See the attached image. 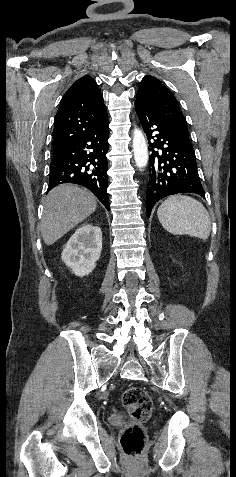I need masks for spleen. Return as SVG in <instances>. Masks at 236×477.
I'll return each instance as SVG.
<instances>
[{
    "label": "spleen",
    "instance_id": "3e777b00",
    "mask_svg": "<svg viewBox=\"0 0 236 477\" xmlns=\"http://www.w3.org/2000/svg\"><path fill=\"white\" fill-rule=\"evenodd\" d=\"M157 216L165 230L172 234H188L206 240L211 231L209 213L192 197L175 195L158 208Z\"/></svg>",
    "mask_w": 236,
    "mask_h": 477
}]
</instances>
